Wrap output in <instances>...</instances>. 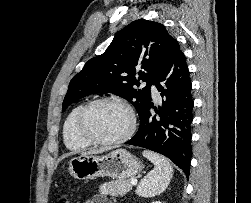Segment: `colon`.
Returning a JSON list of instances; mask_svg holds the SVG:
<instances>
[{
  "mask_svg": "<svg viewBox=\"0 0 251 203\" xmlns=\"http://www.w3.org/2000/svg\"><path fill=\"white\" fill-rule=\"evenodd\" d=\"M55 203H71V202L69 201L68 198L62 196V197H59V198L56 200Z\"/></svg>",
  "mask_w": 251,
  "mask_h": 203,
  "instance_id": "1",
  "label": "colon"
}]
</instances>
